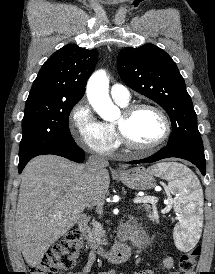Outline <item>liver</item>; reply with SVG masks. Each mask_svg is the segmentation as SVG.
<instances>
[{
    "mask_svg": "<svg viewBox=\"0 0 215 274\" xmlns=\"http://www.w3.org/2000/svg\"><path fill=\"white\" fill-rule=\"evenodd\" d=\"M15 232L26 263L37 266L46 251L79 220L84 209L99 203L108 191L106 169L96 176L85 164L54 155L32 159L24 168Z\"/></svg>",
    "mask_w": 215,
    "mask_h": 274,
    "instance_id": "liver-1",
    "label": "liver"
}]
</instances>
